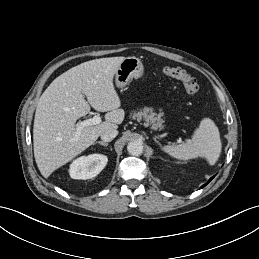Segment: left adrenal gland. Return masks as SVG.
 I'll list each match as a JSON object with an SVG mask.
<instances>
[{
    "instance_id": "a2214340",
    "label": "left adrenal gland",
    "mask_w": 259,
    "mask_h": 259,
    "mask_svg": "<svg viewBox=\"0 0 259 259\" xmlns=\"http://www.w3.org/2000/svg\"><path fill=\"white\" fill-rule=\"evenodd\" d=\"M153 139L161 147V144L159 143V141H157L156 137H154Z\"/></svg>"
}]
</instances>
